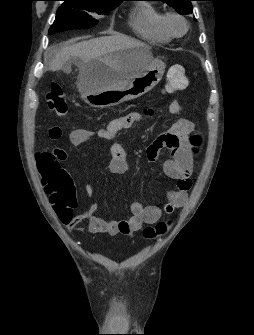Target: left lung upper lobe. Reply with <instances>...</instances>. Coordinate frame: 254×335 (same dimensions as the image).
<instances>
[{"mask_svg": "<svg viewBox=\"0 0 254 335\" xmlns=\"http://www.w3.org/2000/svg\"><path fill=\"white\" fill-rule=\"evenodd\" d=\"M153 1H162L177 10L179 14H190L193 12L191 1L193 0H153Z\"/></svg>", "mask_w": 254, "mask_h": 335, "instance_id": "obj_1", "label": "left lung upper lobe"}]
</instances>
